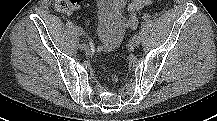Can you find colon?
<instances>
[{
    "label": "colon",
    "mask_w": 217,
    "mask_h": 121,
    "mask_svg": "<svg viewBox=\"0 0 217 121\" xmlns=\"http://www.w3.org/2000/svg\"><path fill=\"white\" fill-rule=\"evenodd\" d=\"M84 0H53L54 8L62 13H71L78 9ZM100 67L103 71L107 69L106 61L100 62Z\"/></svg>",
    "instance_id": "obj_1"
}]
</instances>
